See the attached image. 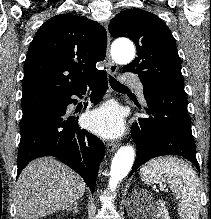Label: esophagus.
I'll return each instance as SVG.
<instances>
[{
    "label": "esophagus",
    "mask_w": 211,
    "mask_h": 219,
    "mask_svg": "<svg viewBox=\"0 0 211 219\" xmlns=\"http://www.w3.org/2000/svg\"><path fill=\"white\" fill-rule=\"evenodd\" d=\"M105 29H106L107 38H108V41H107V52H106V60H107V63H108V71H109V73L111 75H116L117 72H118V66L111 59V56H110V34H109V31H108L107 25H105ZM117 148H118V143H116V142H109L107 144V151L109 153L114 152Z\"/></svg>",
    "instance_id": "1"
}]
</instances>
